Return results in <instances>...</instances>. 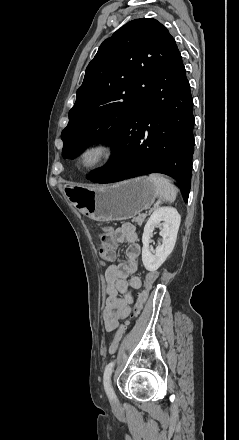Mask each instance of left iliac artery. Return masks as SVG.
I'll list each match as a JSON object with an SVG mask.
<instances>
[{
  "label": "left iliac artery",
  "instance_id": "1",
  "mask_svg": "<svg viewBox=\"0 0 239 440\" xmlns=\"http://www.w3.org/2000/svg\"><path fill=\"white\" fill-rule=\"evenodd\" d=\"M114 365H115L114 361L110 362L105 367L104 376H103L104 389L106 391V394L108 395V397L111 400L116 398L114 390H113V387L111 385V375H112V372H113Z\"/></svg>",
  "mask_w": 239,
  "mask_h": 440
}]
</instances>
